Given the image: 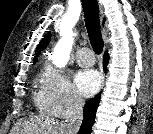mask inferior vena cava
Listing matches in <instances>:
<instances>
[{
    "mask_svg": "<svg viewBox=\"0 0 153 134\" xmlns=\"http://www.w3.org/2000/svg\"><path fill=\"white\" fill-rule=\"evenodd\" d=\"M84 101L75 97L63 122L64 134H77L83 120Z\"/></svg>",
    "mask_w": 153,
    "mask_h": 134,
    "instance_id": "obj_1",
    "label": "inferior vena cava"
}]
</instances>
